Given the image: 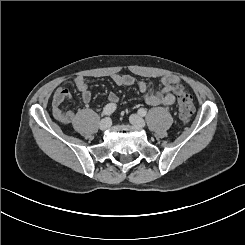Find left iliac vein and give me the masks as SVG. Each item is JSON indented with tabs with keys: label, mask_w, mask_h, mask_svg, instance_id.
<instances>
[{
	"label": "left iliac vein",
	"mask_w": 245,
	"mask_h": 245,
	"mask_svg": "<svg viewBox=\"0 0 245 245\" xmlns=\"http://www.w3.org/2000/svg\"><path fill=\"white\" fill-rule=\"evenodd\" d=\"M130 123L136 127H143L145 125L144 119L138 114H132L129 117Z\"/></svg>",
	"instance_id": "1"
}]
</instances>
